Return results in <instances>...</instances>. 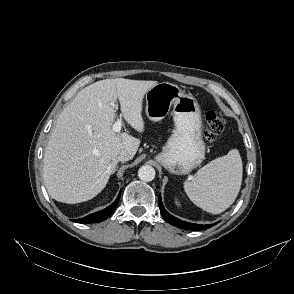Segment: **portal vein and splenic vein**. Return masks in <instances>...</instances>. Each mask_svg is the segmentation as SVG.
Wrapping results in <instances>:
<instances>
[{
	"mask_svg": "<svg viewBox=\"0 0 294 294\" xmlns=\"http://www.w3.org/2000/svg\"><path fill=\"white\" fill-rule=\"evenodd\" d=\"M113 106L116 107L115 104H113ZM121 127H122V120H121V119H118V120L113 124V126H112V130H113L114 132H120Z\"/></svg>",
	"mask_w": 294,
	"mask_h": 294,
	"instance_id": "18ae733b",
	"label": "portal vein and splenic vein"
}]
</instances>
